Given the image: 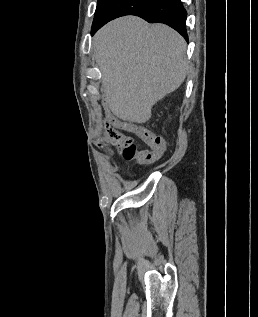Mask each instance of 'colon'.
<instances>
[{
    "instance_id": "obj_1",
    "label": "colon",
    "mask_w": 258,
    "mask_h": 317,
    "mask_svg": "<svg viewBox=\"0 0 258 317\" xmlns=\"http://www.w3.org/2000/svg\"><path fill=\"white\" fill-rule=\"evenodd\" d=\"M117 120L116 117H110L113 124ZM105 143L109 148H115L127 160L135 159L142 164H152L161 158L159 151L139 148L132 137L115 127L107 128Z\"/></svg>"
}]
</instances>
